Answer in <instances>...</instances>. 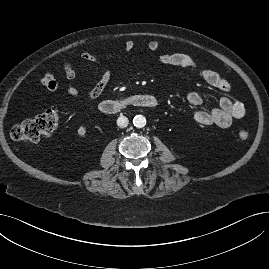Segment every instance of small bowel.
Listing matches in <instances>:
<instances>
[{"label":"small bowel","mask_w":269,"mask_h":269,"mask_svg":"<svg viewBox=\"0 0 269 269\" xmlns=\"http://www.w3.org/2000/svg\"><path fill=\"white\" fill-rule=\"evenodd\" d=\"M135 47L133 40H127L123 50L125 56L129 55ZM160 45L157 41L152 40L147 44V50L150 53H157ZM82 57L90 63H101L102 59L97 55L84 51ZM159 62L165 65L182 67L196 72L206 83L223 92L230 91V84L218 72L210 69H201L195 61L188 55L175 52L164 53L159 56ZM63 70L66 77L70 80L78 76V71L69 62L63 63ZM111 80V71L104 70L96 84L86 93H81L75 87L66 88L69 96L80 98L84 101H91L100 96ZM41 84L51 92H56L59 88L58 82L50 72L45 73L41 78ZM187 103L192 107H198L203 103V96L199 92H191L186 97ZM246 114V108L243 103L232 101L230 98L223 96L219 100V106L210 110H199L194 114V121L200 125H216L221 128L229 127L233 121L241 119Z\"/></svg>","instance_id":"small-bowel-1"}]
</instances>
